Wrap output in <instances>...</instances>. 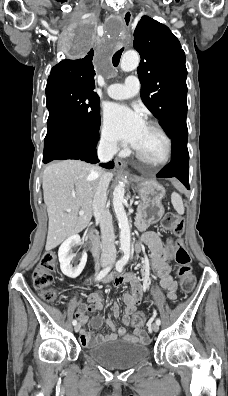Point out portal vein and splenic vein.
Returning a JSON list of instances; mask_svg holds the SVG:
<instances>
[{"instance_id":"18ae733b","label":"portal vein and splenic vein","mask_w":228,"mask_h":396,"mask_svg":"<svg viewBox=\"0 0 228 396\" xmlns=\"http://www.w3.org/2000/svg\"><path fill=\"white\" fill-rule=\"evenodd\" d=\"M84 214V211L83 210H80L79 211V215H83Z\"/></svg>"}]
</instances>
